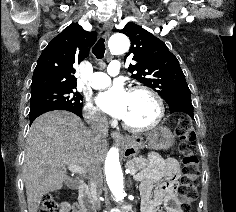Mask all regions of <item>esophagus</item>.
<instances>
[{
  "label": "esophagus",
  "instance_id": "1",
  "mask_svg": "<svg viewBox=\"0 0 236 212\" xmlns=\"http://www.w3.org/2000/svg\"><path fill=\"white\" fill-rule=\"evenodd\" d=\"M113 24L111 21H106L103 25V31L105 34V37L108 38L111 34V30H112ZM111 137L114 139L115 142H124L126 141V138L119 132L114 131L111 133Z\"/></svg>",
  "mask_w": 236,
  "mask_h": 212
}]
</instances>
